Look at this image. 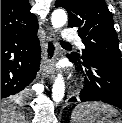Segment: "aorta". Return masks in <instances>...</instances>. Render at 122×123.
<instances>
[{
	"instance_id": "762f6f07",
	"label": "aorta",
	"mask_w": 122,
	"mask_h": 123,
	"mask_svg": "<svg viewBox=\"0 0 122 123\" xmlns=\"http://www.w3.org/2000/svg\"><path fill=\"white\" fill-rule=\"evenodd\" d=\"M52 26L54 28H61L67 22V14L63 9H56L51 17ZM65 93V83L61 74H58L52 88V99L54 102L59 103Z\"/></svg>"
}]
</instances>
